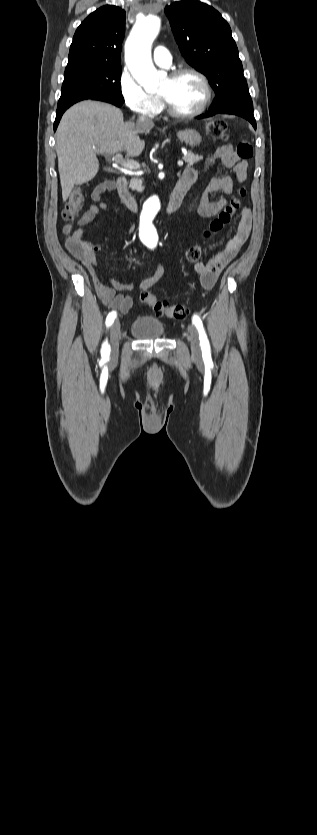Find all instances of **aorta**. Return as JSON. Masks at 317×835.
<instances>
[{"instance_id": "762f6f07", "label": "aorta", "mask_w": 317, "mask_h": 835, "mask_svg": "<svg viewBox=\"0 0 317 835\" xmlns=\"http://www.w3.org/2000/svg\"><path fill=\"white\" fill-rule=\"evenodd\" d=\"M161 26L157 14H148L138 19L125 43V62L134 79L146 92L156 91L166 73L158 71L153 65L151 47ZM160 209L157 196L150 197L144 204L141 215L140 234L157 241L154 219Z\"/></svg>"}]
</instances>
